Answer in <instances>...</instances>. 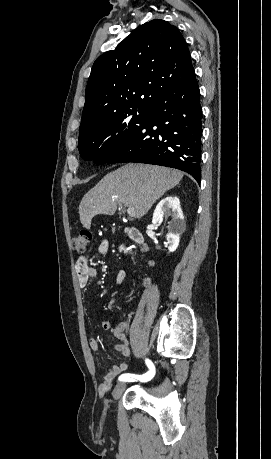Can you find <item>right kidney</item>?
<instances>
[{
    "mask_svg": "<svg viewBox=\"0 0 271 459\" xmlns=\"http://www.w3.org/2000/svg\"><path fill=\"white\" fill-rule=\"evenodd\" d=\"M163 216H172V220L168 222L169 226H167V243H169V251H175L179 245L180 235L186 228V222L180 208V200L177 196H167V198L159 202L154 210L152 224L157 226Z\"/></svg>",
    "mask_w": 271,
    "mask_h": 459,
    "instance_id": "right-kidney-1",
    "label": "right kidney"
}]
</instances>
